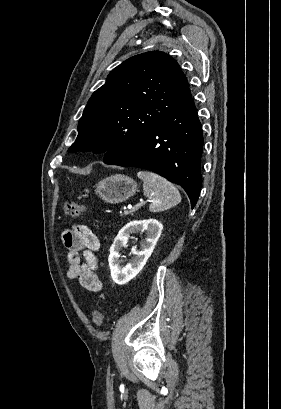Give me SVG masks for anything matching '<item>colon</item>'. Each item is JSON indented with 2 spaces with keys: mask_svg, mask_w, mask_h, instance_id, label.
Wrapping results in <instances>:
<instances>
[{
  "mask_svg": "<svg viewBox=\"0 0 281 409\" xmlns=\"http://www.w3.org/2000/svg\"><path fill=\"white\" fill-rule=\"evenodd\" d=\"M64 211L67 216L77 218L81 215L82 208L76 202H66ZM104 321V314L101 308H96L93 312V325L97 328L101 327Z\"/></svg>",
  "mask_w": 281,
  "mask_h": 409,
  "instance_id": "1",
  "label": "colon"
}]
</instances>
